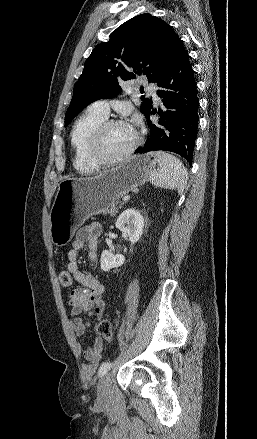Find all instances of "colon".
<instances>
[{"label": "colon", "instance_id": "5ec220e1", "mask_svg": "<svg viewBox=\"0 0 257 439\" xmlns=\"http://www.w3.org/2000/svg\"><path fill=\"white\" fill-rule=\"evenodd\" d=\"M59 280L62 286L70 287L73 282V278L67 271H62L59 275ZM96 333L98 336L105 340L112 339V329L108 320L103 319L96 325Z\"/></svg>", "mask_w": 257, "mask_h": 439}]
</instances>
